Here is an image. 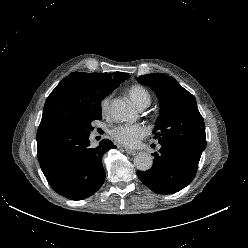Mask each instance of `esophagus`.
Listing matches in <instances>:
<instances>
[{"mask_svg":"<svg viewBox=\"0 0 248 248\" xmlns=\"http://www.w3.org/2000/svg\"><path fill=\"white\" fill-rule=\"evenodd\" d=\"M125 151L127 154H130V155H135L137 153L136 150H132V149H129V148H125Z\"/></svg>","mask_w":248,"mask_h":248,"instance_id":"obj_1","label":"esophagus"}]
</instances>
